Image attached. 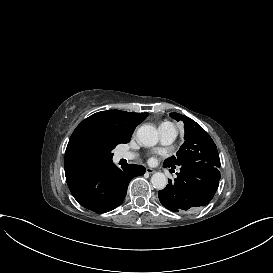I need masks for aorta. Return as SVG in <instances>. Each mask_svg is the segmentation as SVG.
Here are the masks:
<instances>
[{
	"label": "aorta",
	"instance_id": "762f6f07",
	"mask_svg": "<svg viewBox=\"0 0 273 273\" xmlns=\"http://www.w3.org/2000/svg\"><path fill=\"white\" fill-rule=\"evenodd\" d=\"M137 139L145 147H151L158 143L157 129L152 125H142L137 130ZM168 183L167 177L161 172H156L151 177V184L155 189L163 190Z\"/></svg>",
	"mask_w": 273,
	"mask_h": 273
}]
</instances>
